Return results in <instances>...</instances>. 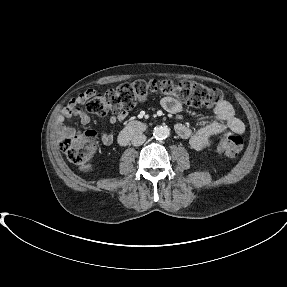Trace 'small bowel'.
I'll return each instance as SVG.
<instances>
[{
  "instance_id": "c3829d8e",
  "label": "small bowel",
  "mask_w": 287,
  "mask_h": 287,
  "mask_svg": "<svg viewBox=\"0 0 287 287\" xmlns=\"http://www.w3.org/2000/svg\"><path fill=\"white\" fill-rule=\"evenodd\" d=\"M93 91H86L78 96L72 98L66 107L62 110L61 114L56 119V130L60 137H65L74 130L66 127L64 122L67 119L76 118L81 124L86 125L90 122V117L80 108V105L85 103L93 95ZM162 107L170 113H178L182 109V104L173 97H165L161 101ZM214 119L208 121L203 127L196 132H193L191 128L185 123H177L175 125L176 134L184 139L188 140L190 146L195 150H203L209 147L215 138L227 134H240L244 132V123L241 119L235 116L232 105L226 101L221 100L213 108ZM128 117L126 111H121L116 115L109 117V123L115 125L122 123ZM100 139L103 144L110 145L114 141V133L112 132H100Z\"/></svg>"
}]
</instances>
